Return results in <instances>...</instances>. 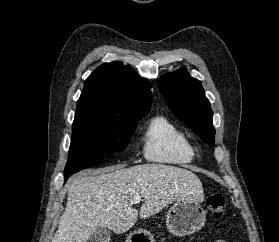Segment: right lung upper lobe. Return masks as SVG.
<instances>
[{"label":"right lung upper lobe","mask_w":279,"mask_h":242,"mask_svg":"<svg viewBox=\"0 0 279 242\" xmlns=\"http://www.w3.org/2000/svg\"><path fill=\"white\" fill-rule=\"evenodd\" d=\"M147 79L120 62L99 66L87 78L75 117L138 121L150 110L152 93Z\"/></svg>","instance_id":"cb5924a9"}]
</instances>
